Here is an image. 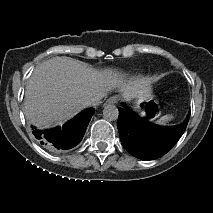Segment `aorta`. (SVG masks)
I'll return each instance as SVG.
<instances>
[{"label": "aorta", "mask_w": 213, "mask_h": 213, "mask_svg": "<svg viewBox=\"0 0 213 213\" xmlns=\"http://www.w3.org/2000/svg\"><path fill=\"white\" fill-rule=\"evenodd\" d=\"M119 111L115 105L108 104L103 109V117L108 121H115L118 119Z\"/></svg>", "instance_id": "762f6f07"}]
</instances>
